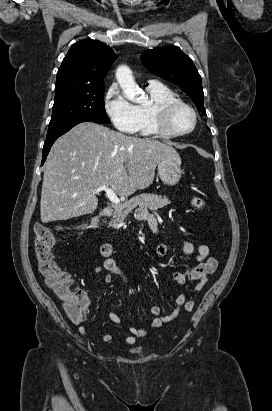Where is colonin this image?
<instances>
[{
  "instance_id": "obj_1",
  "label": "colon",
  "mask_w": 272,
  "mask_h": 411,
  "mask_svg": "<svg viewBox=\"0 0 272 411\" xmlns=\"http://www.w3.org/2000/svg\"><path fill=\"white\" fill-rule=\"evenodd\" d=\"M191 206L194 209H203L205 201L201 197H193ZM34 234V248L38 267L46 285L63 302L64 309L72 321H83L85 319L87 297L85 292L75 284L70 274L60 269L54 261L52 248L56 239L53 231L41 223H36Z\"/></svg>"
}]
</instances>
